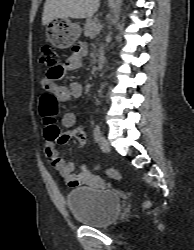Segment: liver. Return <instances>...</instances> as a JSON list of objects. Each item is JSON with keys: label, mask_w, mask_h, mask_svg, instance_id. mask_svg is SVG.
<instances>
[{"label": "liver", "mask_w": 194, "mask_h": 250, "mask_svg": "<svg viewBox=\"0 0 194 250\" xmlns=\"http://www.w3.org/2000/svg\"><path fill=\"white\" fill-rule=\"evenodd\" d=\"M99 0H46L42 14V24L55 19L90 18L98 10Z\"/></svg>", "instance_id": "1"}]
</instances>
